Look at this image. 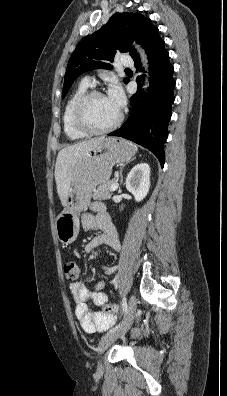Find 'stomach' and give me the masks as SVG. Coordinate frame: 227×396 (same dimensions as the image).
<instances>
[{
    "mask_svg": "<svg viewBox=\"0 0 227 396\" xmlns=\"http://www.w3.org/2000/svg\"><path fill=\"white\" fill-rule=\"evenodd\" d=\"M137 148L131 142L106 138L73 167L70 190L64 210L55 221L56 235L62 244H71L79 234L78 213L84 210L96 186L106 183L115 164L129 161Z\"/></svg>",
    "mask_w": 227,
    "mask_h": 396,
    "instance_id": "stomach-1",
    "label": "stomach"
}]
</instances>
